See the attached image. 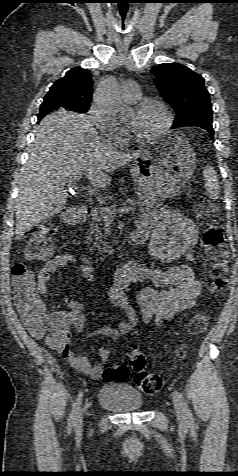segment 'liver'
<instances>
[{
	"mask_svg": "<svg viewBox=\"0 0 238 476\" xmlns=\"http://www.w3.org/2000/svg\"><path fill=\"white\" fill-rule=\"evenodd\" d=\"M143 153L117 152L99 137L85 115L63 110L46 115L35 129L29 159L20 174L15 239L21 240L34 226L62 211L68 177L85 173L95 188L103 189L111 183V172Z\"/></svg>",
	"mask_w": 238,
	"mask_h": 476,
	"instance_id": "6515ba94",
	"label": "liver"
}]
</instances>
